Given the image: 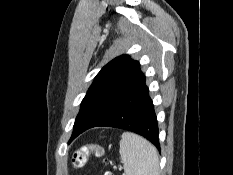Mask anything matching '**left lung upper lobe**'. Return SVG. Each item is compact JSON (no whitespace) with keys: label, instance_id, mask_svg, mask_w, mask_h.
Segmentation results:
<instances>
[{"label":"left lung upper lobe","instance_id":"left-lung-upper-lobe-1","mask_svg":"<svg viewBox=\"0 0 233 175\" xmlns=\"http://www.w3.org/2000/svg\"><path fill=\"white\" fill-rule=\"evenodd\" d=\"M142 75L139 62L128 55H121L104 66L82 100L70 141L103 116Z\"/></svg>","mask_w":233,"mask_h":175}]
</instances>
